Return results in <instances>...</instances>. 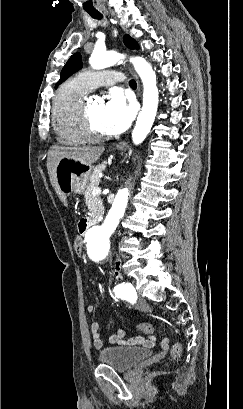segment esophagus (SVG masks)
Listing matches in <instances>:
<instances>
[{"instance_id":"34e87169","label":"esophagus","mask_w":243,"mask_h":409,"mask_svg":"<svg viewBox=\"0 0 243 409\" xmlns=\"http://www.w3.org/2000/svg\"><path fill=\"white\" fill-rule=\"evenodd\" d=\"M129 70L131 71V73L133 74V76L135 77V79L137 81V86H138V90H139V93H140V82L138 80V77L130 67H129ZM124 147H125V142H123V141L119 142L118 145H117L118 149H123Z\"/></svg>"}]
</instances>
